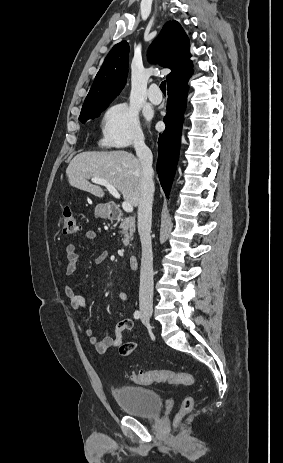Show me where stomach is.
<instances>
[{
  "instance_id": "1",
  "label": "stomach",
  "mask_w": 283,
  "mask_h": 463,
  "mask_svg": "<svg viewBox=\"0 0 283 463\" xmlns=\"http://www.w3.org/2000/svg\"><path fill=\"white\" fill-rule=\"evenodd\" d=\"M112 210L109 204H98L95 207V216L100 218H110Z\"/></svg>"
}]
</instances>
